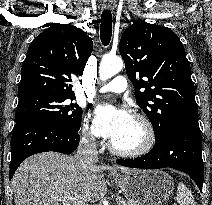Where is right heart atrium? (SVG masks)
Masks as SVG:
<instances>
[{"label":"right heart atrium","mask_w":212,"mask_h":205,"mask_svg":"<svg viewBox=\"0 0 212 205\" xmlns=\"http://www.w3.org/2000/svg\"><path fill=\"white\" fill-rule=\"evenodd\" d=\"M81 138L84 143L90 146H95L97 143L95 135H94L93 127L89 123L88 118H85L83 122L82 130H81Z\"/></svg>","instance_id":"obj_1"}]
</instances>
